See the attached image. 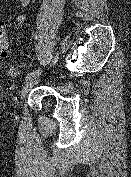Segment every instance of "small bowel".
I'll return each mask as SVG.
<instances>
[{
    "label": "small bowel",
    "mask_w": 131,
    "mask_h": 177,
    "mask_svg": "<svg viewBox=\"0 0 131 177\" xmlns=\"http://www.w3.org/2000/svg\"><path fill=\"white\" fill-rule=\"evenodd\" d=\"M5 0H0V7L4 3ZM20 5L23 7H27L30 4V0H18ZM26 16L24 14H21L17 17V23L18 27L22 28L25 22Z\"/></svg>",
    "instance_id": "small-bowel-1"
}]
</instances>
